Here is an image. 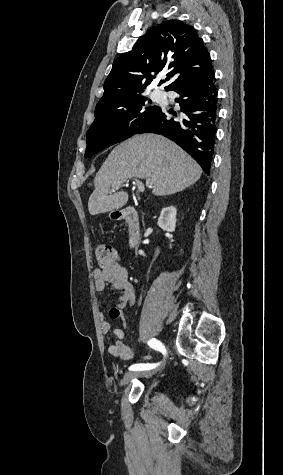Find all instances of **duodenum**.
<instances>
[{
  "instance_id": "1",
  "label": "duodenum",
  "mask_w": 283,
  "mask_h": 475,
  "mask_svg": "<svg viewBox=\"0 0 283 475\" xmlns=\"http://www.w3.org/2000/svg\"><path fill=\"white\" fill-rule=\"evenodd\" d=\"M115 219L125 222L128 230V246L135 248L141 237V226L139 214L134 208H125L115 214Z\"/></svg>"
}]
</instances>
